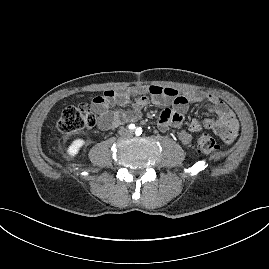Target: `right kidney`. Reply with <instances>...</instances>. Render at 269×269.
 Here are the masks:
<instances>
[{
	"instance_id": "obj_1",
	"label": "right kidney",
	"mask_w": 269,
	"mask_h": 269,
	"mask_svg": "<svg viewBox=\"0 0 269 269\" xmlns=\"http://www.w3.org/2000/svg\"><path fill=\"white\" fill-rule=\"evenodd\" d=\"M84 145L85 141L83 139H76L68 147L67 153L69 154V156L75 157Z\"/></svg>"
}]
</instances>
